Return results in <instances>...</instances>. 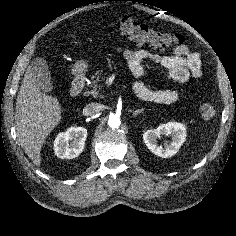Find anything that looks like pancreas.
Here are the masks:
<instances>
[{
    "label": "pancreas",
    "instance_id": "pancreas-1",
    "mask_svg": "<svg viewBox=\"0 0 236 236\" xmlns=\"http://www.w3.org/2000/svg\"><path fill=\"white\" fill-rule=\"evenodd\" d=\"M105 79L104 76H102V71H97L92 77H91V87L92 89L90 91H87L88 95H91L94 98H103L104 95L100 93L102 90V84H99L101 81Z\"/></svg>",
    "mask_w": 236,
    "mask_h": 236
}]
</instances>
